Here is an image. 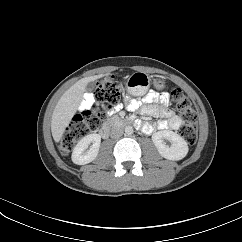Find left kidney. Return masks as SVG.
Masks as SVG:
<instances>
[{
    "mask_svg": "<svg viewBox=\"0 0 242 242\" xmlns=\"http://www.w3.org/2000/svg\"><path fill=\"white\" fill-rule=\"evenodd\" d=\"M165 140H168L171 145H167ZM152 141L159 154L166 159L181 160L188 153L187 142L176 132L170 130L158 131L152 135Z\"/></svg>",
    "mask_w": 242,
    "mask_h": 242,
    "instance_id": "1",
    "label": "left kidney"
}]
</instances>
